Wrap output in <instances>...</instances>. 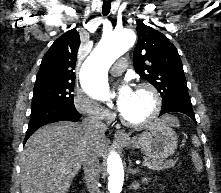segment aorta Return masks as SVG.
Masks as SVG:
<instances>
[{
  "label": "aorta",
  "mask_w": 221,
  "mask_h": 193,
  "mask_svg": "<svg viewBox=\"0 0 221 193\" xmlns=\"http://www.w3.org/2000/svg\"><path fill=\"white\" fill-rule=\"evenodd\" d=\"M135 40L136 35L131 30H115L104 36L92 51L80 71L82 88L90 98L101 101L110 98L106 71L118 57L134 45ZM107 172L109 193H121L124 170L122 161L115 152H111L107 159Z\"/></svg>",
  "instance_id": "1"
}]
</instances>
